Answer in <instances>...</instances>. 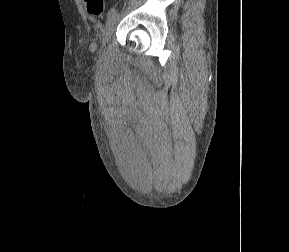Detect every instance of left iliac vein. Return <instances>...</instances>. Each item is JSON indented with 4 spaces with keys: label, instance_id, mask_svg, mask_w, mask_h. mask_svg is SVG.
<instances>
[{
    "label": "left iliac vein",
    "instance_id": "left-iliac-vein-1",
    "mask_svg": "<svg viewBox=\"0 0 289 252\" xmlns=\"http://www.w3.org/2000/svg\"><path fill=\"white\" fill-rule=\"evenodd\" d=\"M116 22H117V14H114L113 16L108 18L106 25H105V28L103 30V34H102V44L103 45H106L109 42V40L113 34V31L115 29Z\"/></svg>",
    "mask_w": 289,
    "mask_h": 252
}]
</instances>
